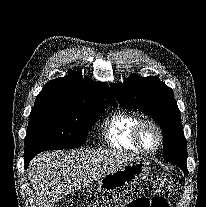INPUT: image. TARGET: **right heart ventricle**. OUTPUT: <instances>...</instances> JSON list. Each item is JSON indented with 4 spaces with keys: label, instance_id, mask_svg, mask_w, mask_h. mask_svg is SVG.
<instances>
[{
    "label": "right heart ventricle",
    "instance_id": "right-heart-ventricle-1",
    "mask_svg": "<svg viewBox=\"0 0 206 207\" xmlns=\"http://www.w3.org/2000/svg\"><path fill=\"white\" fill-rule=\"evenodd\" d=\"M140 118L133 113L116 111L105 121L103 134L107 144L117 150L140 152L132 139V131Z\"/></svg>",
    "mask_w": 206,
    "mask_h": 207
}]
</instances>
